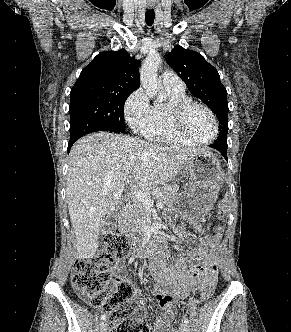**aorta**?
<instances>
[{
  "instance_id": "aorta-1",
  "label": "aorta",
  "mask_w": 291,
  "mask_h": 332,
  "mask_svg": "<svg viewBox=\"0 0 291 332\" xmlns=\"http://www.w3.org/2000/svg\"><path fill=\"white\" fill-rule=\"evenodd\" d=\"M161 62L162 58L160 54L156 51H151L148 53L140 69V81L145 92L151 98L157 96V101L160 102L166 99L157 78V71Z\"/></svg>"
}]
</instances>
